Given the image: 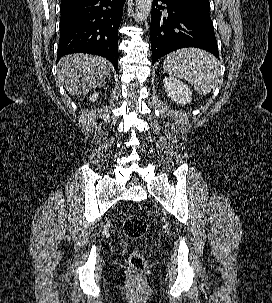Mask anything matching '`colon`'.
Wrapping results in <instances>:
<instances>
[{
	"instance_id": "obj_1",
	"label": "colon",
	"mask_w": 272,
	"mask_h": 303,
	"mask_svg": "<svg viewBox=\"0 0 272 303\" xmlns=\"http://www.w3.org/2000/svg\"><path fill=\"white\" fill-rule=\"evenodd\" d=\"M147 229V220L141 215L130 214L125 218L123 222L124 233L131 239L142 238L146 234ZM129 264L134 275H140L146 267L145 258L138 250H135L131 253Z\"/></svg>"
}]
</instances>
